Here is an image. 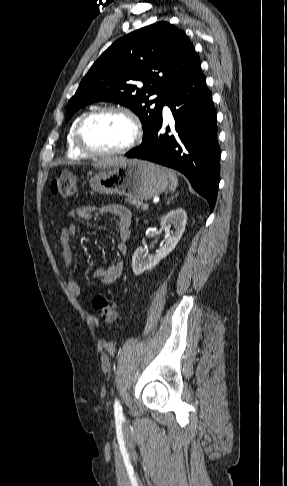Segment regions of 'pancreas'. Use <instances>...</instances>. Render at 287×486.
I'll use <instances>...</instances> for the list:
<instances>
[{
	"label": "pancreas",
	"instance_id": "1",
	"mask_svg": "<svg viewBox=\"0 0 287 486\" xmlns=\"http://www.w3.org/2000/svg\"><path fill=\"white\" fill-rule=\"evenodd\" d=\"M127 201L131 204L134 205L137 209L142 207L143 202L140 200L132 199V198H127Z\"/></svg>",
	"mask_w": 287,
	"mask_h": 486
}]
</instances>
